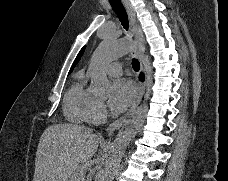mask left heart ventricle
Segmentation results:
<instances>
[{"instance_id":"1","label":"left heart ventricle","mask_w":228,"mask_h":181,"mask_svg":"<svg viewBox=\"0 0 228 181\" xmlns=\"http://www.w3.org/2000/svg\"><path fill=\"white\" fill-rule=\"evenodd\" d=\"M120 72H113L110 77H108L109 80V85L111 87L113 80H118L117 78L119 77Z\"/></svg>"}]
</instances>
